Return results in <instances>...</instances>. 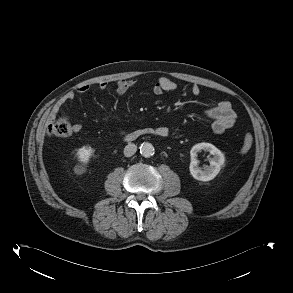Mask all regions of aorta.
<instances>
[{
    "label": "aorta",
    "instance_id": "1",
    "mask_svg": "<svg viewBox=\"0 0 293 293\" xmlns=\"http://www.w3.org/2000/svg\"><path fill=\"white\" fill-rule=\"evenodd\" d=\"M140 153L143 157L149 158L154 154V147L151 143L144 142L140 146Z\"/></svg>",
    "mask_w": 293,
    "mask_h": 293
}]
</instances>
